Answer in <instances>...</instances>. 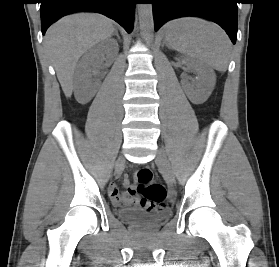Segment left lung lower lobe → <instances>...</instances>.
<instances>
[{
  "instance_id": "obj_1",
  "label": "left lung lower lobe",
  "mask_w": 279,
  "mask_h": 267,
  "mask_svg": "<svg viewBox=\"0 0 279 267\" xmlns=\"http://www.w3.org/2000/svg\"><path fill=\"white\" fill-rule=\"evenodd\" d=\"M155 31L165 22L183 16H198L218 23L235 44L237 0H151Z\"/></svg>"
}]
</instances>
